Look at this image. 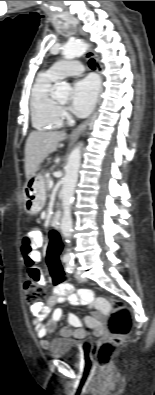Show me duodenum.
I'll use <instances>...</instances> for the list:
<instances>
[{
    "mask_svg": "<svg viewBox=\"0 0 155 395\" xmlns=\"http://www.w3.org/2000/svg\"><path fill=\"white\" fill-rule=\"evenodd\" d=\"M61 218H62V216H61V213L60 212H56V213H54V215H53V217H52V226L54 227V228H60V225H61Z\"/></svg>",
    "mask_w": 155,
    "mask_h": 395,
    "instance_id": "1",
    "label": "duodenum"
}]
</instances>
